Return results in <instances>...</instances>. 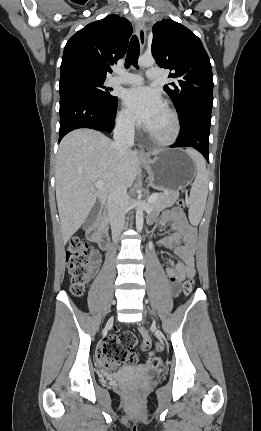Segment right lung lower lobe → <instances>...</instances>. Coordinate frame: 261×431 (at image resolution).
I'll use <instances>...</instances> for the list:
<instances>
[{
  "label": "right lung lower lobe",
  "instance_id": "right-lung-lower-lobe-1",
  "mask_svg": "<svg viewBox=\"0 0 261 431\" xmlns=\"http://www.w3.org/2000/svg\"><path fill=\"white\" fill-rule=\"evenodd\" d=\"M117 104V97L110 102H101L86 92L60 91L59 142L67 133L78 128L111 132L115 127Z\"/></svg>",
  "mask_w": 261,
  "mask_h": 431
}]
</instances>
